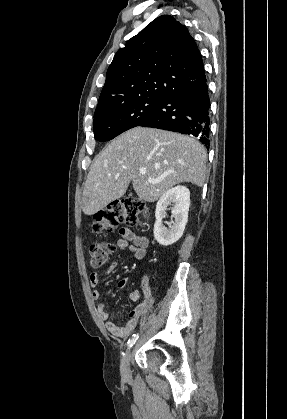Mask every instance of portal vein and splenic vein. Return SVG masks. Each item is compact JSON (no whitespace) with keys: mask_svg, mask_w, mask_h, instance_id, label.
Returning a JSON list of instances; mask_svg holds the SVG:
<instances>
[{"mask_svg":"<svg viewBox=\"0 0 287 419\" xmlns=\"http://www.w3.org/2000/svg\"><path fill=\"white\" fill-rule=\"evenodd\" d=\"M139 173H140L141 175H144V174L146 173V170H145V169H140ZM148 181H149V182H152V183L156 182V180H154V179H152V178H149V179H148Z\"/></svg>","mask_w":287,"mask_h":419,"instance_id":"1","label":"portal vein and splenic vein"}]
</instances>
